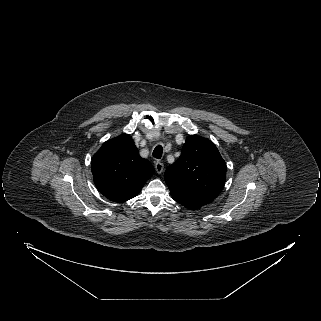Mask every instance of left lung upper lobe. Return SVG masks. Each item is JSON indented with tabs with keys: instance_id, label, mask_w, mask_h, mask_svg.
Wrapping results in <instances>:
<instances>
[{
	"instance_id": "1",
	"label": "left lung upper lobe",
	"mask_w": 321,
	"mask_h": 321,
	"mask_svg": "<svg viewBox=\"0 0 321 321\" xmlns=\"http://www.w3.org/2000/svg\"><path fill=\"white\" fill-rule=\"evenodd\" d=\"M164 179L172 198L193 210L219 195L226 179V164L210 140L191 135L181 156L166 169Z\"/></svg>"
}]
</instances>
